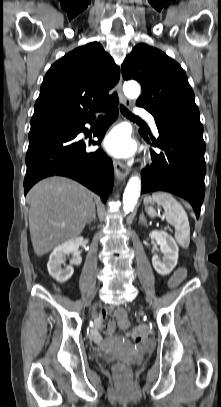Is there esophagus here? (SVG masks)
I'll return each mask as SVG.
<instances>
[{"mask_svg": "<svg viewBox=\"0 0 221 407\" xmlns=\"http://www.w3.org/2000/svg\"><path fill=\"white\" fill-rule=\"evenodd\" d=\"M116 88H117V92H118L121 102L125 106H130L131 105L130 100H128L122 92V76L121 75H120V79L116 85ZM114 170H115L116 179L118 181L123 180L129 174V169L126 167V165L124 163H122L120 161H114Z\"/></svg>", "mask_w": 221, "mask_h": 407, "instance_id": "34e87169", "label": "esophagus"}]
</instances>
